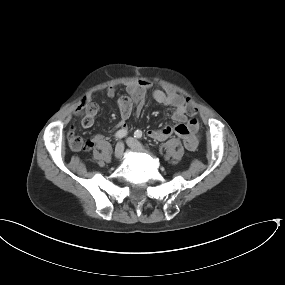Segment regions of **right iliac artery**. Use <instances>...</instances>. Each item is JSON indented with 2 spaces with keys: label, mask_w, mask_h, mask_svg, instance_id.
I'll list each match as a JSON object with an SVG mask.
<instances>
[{
  "label": "right iliac artery",
  "mask_w": 285,
  "mask_h": 285,
  "mask_svg": "<svg viewBox=\"0 0 285 285\" xmlns=\"http://www.w3.org/2000/svg\"><path fill=\"white\" fill-rule=\"evenodd\" d=\"M127 135V130H119L115 134L116 140L121 139Z\"/></svg>",
  "instance_id": "82829eb1"
}]
</instances>
